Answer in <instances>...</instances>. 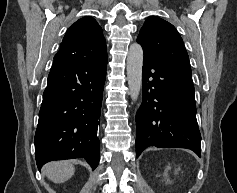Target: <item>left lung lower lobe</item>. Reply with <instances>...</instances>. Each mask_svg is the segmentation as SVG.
I'll use <instances>...</instances> for the list:
<instances>
[{"instance_id": "1", "label": "left lung lower lobe", "mask_w": 237, "mask_h": 193, "mask_svg": "<svg viewBox=\"0 0 237 193\" xmlns=\"http://www.w3.org/2000/svg\"><path fill=\"white\" fill-rule=\"evenodd\" d=\"M142 75L136 157L148 146L187 148L201 156L191 74L144 54Z\"/></svg>"}]
</instances>
